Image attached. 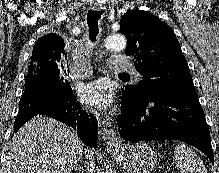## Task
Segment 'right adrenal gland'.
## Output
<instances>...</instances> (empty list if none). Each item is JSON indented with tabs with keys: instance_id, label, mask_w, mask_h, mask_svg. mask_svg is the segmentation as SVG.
Segmentation results:
<instances>
[{
	"instance_id": "2a0ac1e0",
	"label": "right adrenal gland",
	"mask_w": 219,
	"mask_h": 173,
	"mask_svg": "<svg viewBox=\"0 0 219 173\" xmlns=\"http://www.w3.org/2000/svg\"><path fill=\"white\" fill-rule=\"evenodd\" d=\"M75 171H76V173H83V171L81 170V168L79 166L75 167Z\"/></svg>"
}]
</instances>
